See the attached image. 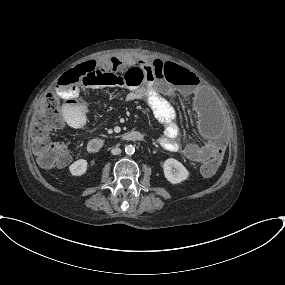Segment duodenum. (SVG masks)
Masks as SVG:
<instances>
[{
  "label": "duodenum",
  "instance_id": "duodenum-1",
  "mask_svg": "<svg viewBox=\"0 0 285 285\" xmlns=\"http://www.w3.org/2000/svg\"><path fill=\"white\" fill-rule=\"evenodd\" d=\"M122 139L124 141H129V142H140L144 140V135L136 130H131L126 132ZM107 145V142L104 139H92L88 142V150L90 153H98L102 151Z\"/></svg>",
  "mask_w": 285,
  "mask_h": 285
}]
</instances>
